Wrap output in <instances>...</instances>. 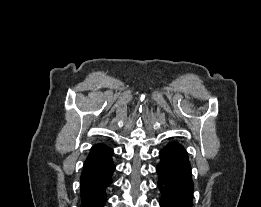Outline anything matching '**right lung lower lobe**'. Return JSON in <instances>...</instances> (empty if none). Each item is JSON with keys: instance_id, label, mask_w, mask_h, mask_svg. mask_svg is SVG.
<instances>
[{"instance_id": "98d812e1", "label": "right lung lower lobe", "mask_w": 261, "mask_h": 207, "mask_svg": "<svg viewBox=\"0 0 261 207\" xmlns=\"http://www.w3.org/2000/svg\"><path fill=\"white\" fill-rule=\"evenodd\" d=\"M112 156L113 150L101 143L90 149L80 180L81 207H103L106 203V190L115 171Z\"/></svg>"}]
</instances>
